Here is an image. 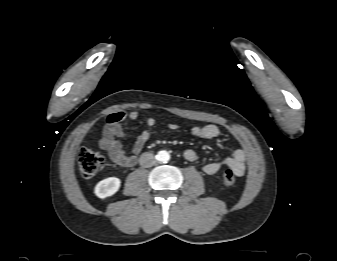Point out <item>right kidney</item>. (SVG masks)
<instances>
[{
  "label": "right kidney",
  "mask_w": 337,
  "mask_h": 261,
  "mask_svg": "<svg viewBox=\"0 0 337 261\" xmlns=\"http://www.w3.org/2000/svg\"><path fill=\"white\" fill-rule=\"evenodd\" d=\"M121 181L116 177H109L100 181L95 186V194L97 197L104 199L106 197L114 195L120 188Z\"/></svg>",
  "instance_id": "right-kidney-1"
}]
</instances>
